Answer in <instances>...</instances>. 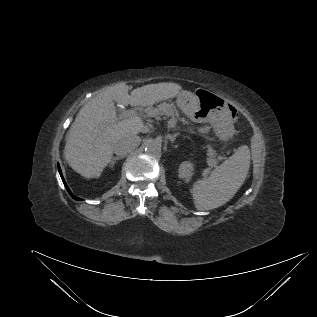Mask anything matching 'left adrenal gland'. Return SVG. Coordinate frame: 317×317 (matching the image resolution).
I'll use <instances>...</instances> for the list:
<instances>
[{"mask_svg":"<svg viewBox=\"0 0 317 317\" xmlns=\"http://www.w3.org/2000/svg\"><path fill=\"white\" fill-rule=\"evenodd\" d=\"M178 136V134H175L173 136H170V141L173 143L176 140V137Z\"/></svg>","mask_w":317,"mask_h":317,"instance_id":"obj_1","label":"left adrenal gland"}]
</instances>
